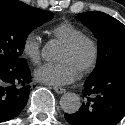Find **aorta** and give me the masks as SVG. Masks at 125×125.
Returning <instances> with one entry per match:
<instances>
[{
    "label": "aorta",
    "instance_id": "aorta-1",
    "mask_svg": "<svg viewBox=\"0 0 125 125\" xmlns=\"http://www.w3.org/2000/svg\"><path fill=\"white\" fill-rule=\"evenodd\" d=\"M58 51V44L54 41H49L42 48L41 55L44 60L52 62L57 59ZM60 106L65 113H75L81 106L80 97L76 93L68 92L61 97Z\"/></svg>",
    "mask_w": 125,
    "mask_h": 125
}]
</instances>
